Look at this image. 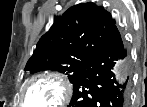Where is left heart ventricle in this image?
Here are the masks:
<instances>
[{
    "label": "left heart ventricle",
    "instance_id": "b2bd125f",
    "mask_svg": "<svg viewBox=\"0 0 147 107\" xmlns=\"http://www.w3.org/2000/svg\"><path fill=\"white\" fill-rule=\"evenodd\" d=\"M60 97L58 86L50 81L35 83L27 93V104L33 107H49Z\"/></svg>",
    "mask_w": 147,
    "mask_h": 107
}]
</instances>
